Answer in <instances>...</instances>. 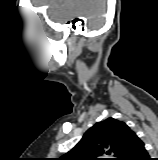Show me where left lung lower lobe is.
<instances>
[{
  "mask_svg": "<svg viewBox=\"0 0 158 160\" xmlns=\"http://www.w3.org/2000/svg\"><path fill=\"white\" fill-rule=\"evenodd\" d=\"M124 160H151L144 147V143L135 134L132 138L128 153Z\"/></svg>",
  "mask_w": 158,
  "mask_h": 160,
  "instance_id": "0a47b994",
  "label": "left lung lower lobe"
}]
</instances>
